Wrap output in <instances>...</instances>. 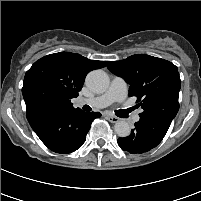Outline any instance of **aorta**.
Segmentation results:
<instances>
[{
    "label": "aorta",
    "mask_w": 201,
    "mask_h": 201,
    "mask_svg": "<svg viewBox=\"0 0 201 201\" xmlns=\"http://www.w3.org/2000/svg\"><path fill=\"white\" fill-rule=\"evenodd\" d=\"M88 88L98 94L104 93L109 86V77L102 70L91 71L86 77ZM114 130L119 137H127L131 128L127 121L121 120L115 123Z\"/></svg>",
    "instance_id": "aorta-1"
}]
</instances>
